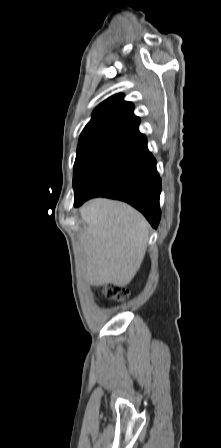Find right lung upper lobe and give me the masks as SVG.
<instances>
[{
    "label": "right lung upper lobe",
    "instance_id": "right-lung-upper-lobe-1",
    "mask_svg": "<svg viewBox=\"0 0 221 448\" xmlns=\"http://www.w3.org/2000/svg\"><path fill=\"white\" fill-rule=\"evenodd\" d=\"M131 102L123 100L122 94L114 95L101 103L83 129L78 149L88 146L117 147L136 135L140 119L133 113Z\"/></svg>",
    "mask_w": 221,
    "mask_h": 448
}]
</instances>
